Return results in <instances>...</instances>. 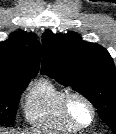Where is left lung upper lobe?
Here are the masks:
<instances>
[{
	"instance_id": "obj_1",
	"label": "left lung upper lobe",
	"mask_w": 116,
	"mask_h": 134,
	"mask_svg": "<svg viewBox=\"0 0 116 134\" xmlns=\"http://www.w3.org/2000/svg\"><path fill=\"white\" fill-rule=\"evenodd\" d=\"M41 73L86 97L116 134V69L108 51L76 33L46 31Z\"/></svg>"
}]
</instances>
